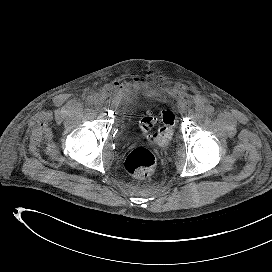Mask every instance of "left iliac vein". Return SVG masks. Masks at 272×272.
Segmentation results:
<instances>
[{"mask_svg":"<svg viewBox=\"0 0 272 272\" xmlns=\"http://www.w3.org/2000/svg\"><path fill=\"white\" fill-rule=\"evenodd\" d=\"M205 112H206L205 106L204 105H198L196 107V115H195V117L196 118H201L205 114Z\"/></svg>","mask_w":272,"mask_h":272,"instance_id":"left-iliac-vein-1","label":"left iliac vein"}]
</instances>
